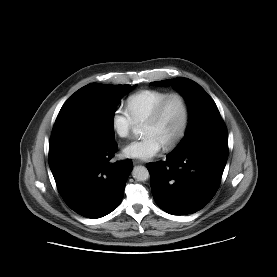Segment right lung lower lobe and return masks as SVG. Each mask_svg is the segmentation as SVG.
Listing matches in <instances>:
<instances>
[{"mask_svg":"<svg viewBox=\"0 0 277 277\" xmlns=\"http://www.w3.org/2000/svg\"><path fill=\"white\" fill-rule=\"evenodd\" d=\"M117 149L115 141H104L87 131L53 127L49 166L70 209L95 219L121 203L133 165L131 159L111 163Z\"/></svg>","mask_w":277,"mask_h":277,"instance_id":"98d812e1","label":"right lung lower lobe"}]
</instances>
